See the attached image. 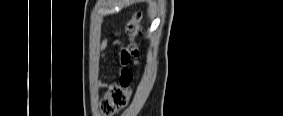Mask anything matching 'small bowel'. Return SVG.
<instances>
[{"label":"small bowel","mask_w":283,"mask_h":116,"mask_svg":"<svg viewBox=\"0 0 283 116\" xmlns=\"http://www.w3.org/2000/svg\"><path fill=\"white\" fill-rule=\"evenodd\" d=\"M116 47L117 49V59L114 62V66L115 67H122L124 65H126V63L128 62L129 58L125 53V49L123 48L122 43L117 42L116 44L111 43L109 40L105 39L103 40L102 44H101V48L102 50H108L112 47ZM130 74V72L127 69L122 68L120 71V75L121 76H128Z\"/></svg>","instance_id":"1"}]
</instances>
